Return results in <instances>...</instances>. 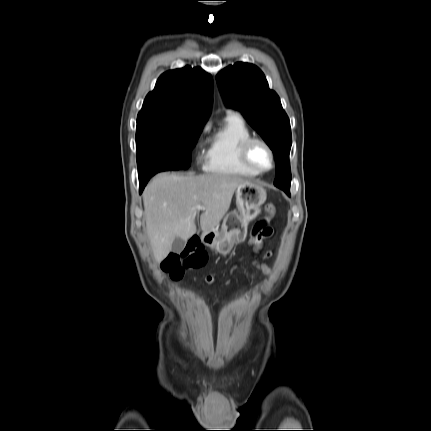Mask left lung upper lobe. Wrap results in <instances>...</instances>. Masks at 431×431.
I'll return each mask as SVG.
<instances>
[{"label":"left lung upper lobe","mask_w":431,"mask_h":431,"mask_svg":"<svg viewBox=\"0 0 431 431\" xmlns=\"http://www.w3.org/2000/svg\"><path fill=\"white\" fill-rule=\"evenodd\" d=\"M216 80L226 105L241 111L273 151L277 168L274 185L289 192L291 129L278 95L269 89L262 71L249 63L228 66Z\"/></svg>","instance_id":"5c2ea615"}]
</instances>
